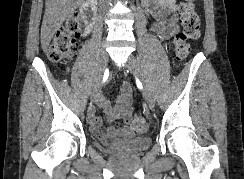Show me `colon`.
<instances>
[{
    "instance_id": "1",
    "label": "colon",
    "mask_w": 244,
    "mask_h": 179,
    "mask_svg": "<svg viewBox=\"0 0 244 179\" xmlns=\"http://www.w3.org/2000/svg\"><path fill=\"white\" fill-rule=\"evenodd\" d=\"M178 16L181 30L174 38V48L177 61L183 62L190 52L189 41L198 37L200 16L195 10L194 3L190 0L180 2ZM80 31L81 22L77 17L73 16L66 20L51 43L48 52L51 62L61 64L73 57L77 51L75 39ZM132 124L136 131L142 132L146 129V124L140 116L134 115Z\"/></svg>"
}]
</instances>
